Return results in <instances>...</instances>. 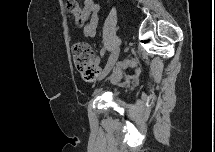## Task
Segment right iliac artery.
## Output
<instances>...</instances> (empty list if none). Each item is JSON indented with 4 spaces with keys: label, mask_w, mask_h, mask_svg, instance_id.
<instances>
[{
    "label": "right iliac artery",
    "mask_w": 215,
    "mask_h": 152,
    "mask_svg": "<svg viewBox=\"0 0 215 152\" xmlns=\"http://www.w3.org/2000/svg\"><path fill=\"white\" fill-rule=\"evenodd\" d=\"M105 51H106V50H103V51L101 52V55H104Z\"/></svg>",
    "instance_id": "82829eb1"
}]
</instances>
